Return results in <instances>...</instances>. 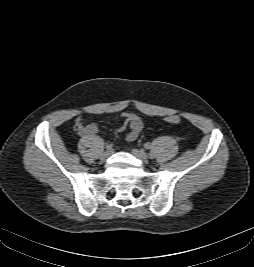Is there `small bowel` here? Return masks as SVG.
<instances>
[{
    "mask_svg": "<svg viewBox=\"0 0 254 267\" xmlns=\"http://www.w3.org/2000/svg\"><path fill=\"white\" fill-rule=\"evenodd\" d=\"M121 118L123 119V124L120 129H123L127 125L129 126V132L126 134V140L128 142L135 141L143 129L142 119L136 114L128 112L122 113ZM74 129L82 136H95L100 132L96 124H84L83 114H79L75 117Z\"/></svg>",
    "mask_w": 254,
    "mask_h": 267,
    "instance_id": "obj_1",
    "label": "small bowel"
}]
</instances>
